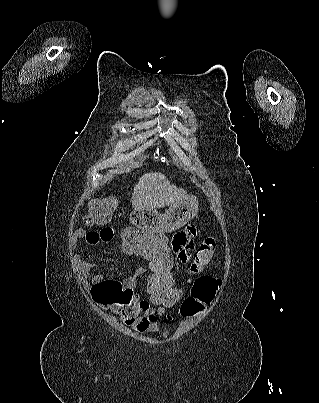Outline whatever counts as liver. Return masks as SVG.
Listing matches in <instances>:
<instances>
[{"mask_svg":"<svg viewBox=\"0 0 319 403\" xmlns=\"http://www.w3.org/2000/svg\"><path fill=\"white\" fill-rule=\"evenodd\" d=\"M186 197V191L170 184L164 174L151 172L139 178L131 200L135 210H149L173 205Z\"/></svg>","mask_w":319,"mask_h":403,"instance_id":"1","label":"liver"}]
</instances>
